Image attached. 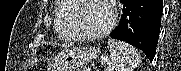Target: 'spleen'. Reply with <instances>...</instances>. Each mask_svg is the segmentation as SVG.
Masks as SVG:
<instances>
[{
    "label": "spleen",
    "instance_id": "spleen-1",
    "mask_svg": "<svg viewBox=\"0 0 181 71\" xmlns=\"http://www.w3.org/2000/svg\"><path fill=\"white\" fill-rule=\"evenodd\" d=\"M107 47L110 55L105 71H133L140 64V56L133 46L111 39Z\"/></svg>",
    "mask_w": 181,
    "mask_h": 71
}]
</instances>
